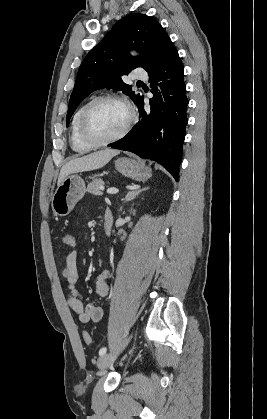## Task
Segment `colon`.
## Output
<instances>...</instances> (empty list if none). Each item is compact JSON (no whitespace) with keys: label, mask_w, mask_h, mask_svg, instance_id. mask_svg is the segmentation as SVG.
<instances>
[{"label":"colon","mask_w":267,"mask_h":419,"mask_svg":"<svg viewBox=\"0 0 267 419\" xmlns=\"http://www.w3.org/2000/svg\"><path fill=\"white\" fill-rule=\"evenodd\" d=\"M62 241L63 244L68 248L73 247L76 243L75 237L70 233L65 234L63 236ZM83 340L86 344H89L91 342L90 334L88 332H83Z\"/></svg>","instance_id":"obj_1"}]
</instances>
